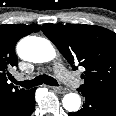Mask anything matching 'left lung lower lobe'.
Instances as JSON below:
<instances>
[{"mask_svg":"<svg viewBox=\"0 0 116 116\" xmlns=\"http://www.w3.org/2000/svg\"><path fill=\"white\" fill-rule=\"evenodd\" d=\"M85 98L83 108L69 116H116V93L78 89Z\"/></svg>","mask_w":116,"mask_h":116,"instance_id":"obj_1","label":"left lung lower lobe"}]
</instances>
